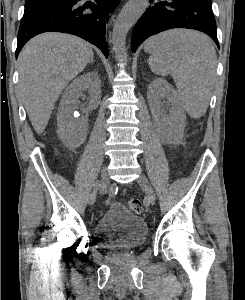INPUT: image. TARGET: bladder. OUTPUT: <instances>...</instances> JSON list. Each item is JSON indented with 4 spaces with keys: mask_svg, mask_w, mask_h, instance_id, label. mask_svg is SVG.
Returning <instances> with one entry per match:
<instances>
[{
    "mask_svg": "<svg viewBox=\"0 0 245 300\" xmlns=\"http://www.w3.org/2000/svg\"><path fill=\"white\" fill-rule=\"evenodd\" d=\"M147 233L145 220L120 203H113L94 226L98 243L106 249L118 252L140 247L145 242Z\"/></svg>",
    "mask_w": 245,
    "mask_h": 300,
    "instance_id": "1",
    "label": "bladder"
}]
</instances>
